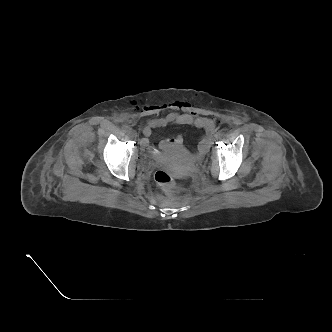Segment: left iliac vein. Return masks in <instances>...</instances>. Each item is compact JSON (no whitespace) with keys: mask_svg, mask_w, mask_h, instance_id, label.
I'll return each mask as SVG.
<instances>
[{"mask_svg":"<svg viewBox=\"0 0 332 332\" xmlns=\"http://www.w3.org/2000/svg\"><path fill=\"white\" fill-rule=\"evenodd\" d=\"M220 137H221V136L217 133V134L214 136V141L220 139Z\"/></svg>","mask_w":332,"mask_h":332,"instance_id":"left-iliac-vein-1","label":"left iliac vein"}]
</instances>
